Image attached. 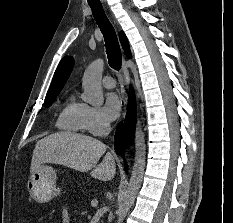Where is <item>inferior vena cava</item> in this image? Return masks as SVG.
Listing matches in <instances>:
<instances>
[{
  "label": "inferior vena cava",
  "mask_w": 233,
  "mask_h": 223,
  "mask_svg": "<svg viewBox=\"0 0 233 223\" xmlns=\"http://www.w3.org/2000/svg\"><path fill=\"white\" fill-rule=\"evenodd\" d=\"M111 121H109V119H101V135H103V137H106V135H109L110 131H111V125H110Z\"/></svg>",
  "instance_id": "obj_1"
}]
</instances>
